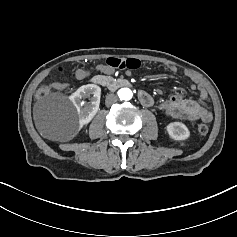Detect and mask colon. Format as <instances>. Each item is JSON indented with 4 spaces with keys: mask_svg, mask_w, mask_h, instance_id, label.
I'll list each match as a JSON object with an SVG mask.
<instances>
[{
    "mask_svg": "<svg viewBox=\"0 0 237 237\" xmlns=\"http://www.w3.org/2000/svg\"><path fill=\"white\" fill-rule=\"evenodd\" d=\"M106 64L114 69H120V70H138L141 67V61L135 58H128V59L109 58L107 59ZM50 90L51 88L49 85L46 84L41 85L37 91V97L38 98L45 97L46 95L49 94ZM197 130L199 134L206 135L208 133L209 128L206 124L202 123L198 125Z\"/></svg>",
    "mask_w": 237,
    "mask_h": 237,
    "instance_id": "5ec220e1",
    "label": "colon"
}]
</instances>
